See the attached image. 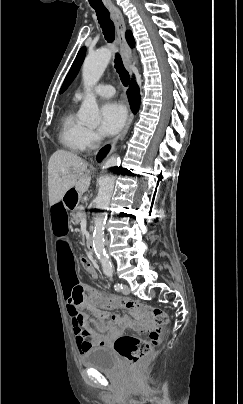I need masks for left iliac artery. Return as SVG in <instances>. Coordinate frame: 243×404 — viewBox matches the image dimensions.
I'll use <instances>...</instances> for the list:
<instances>
[{
	"instance_id": "obj_1",
	"label": "left iliac artery",
	"mask_w": 243,
	"mask_h": 404,
	"mask_svg": "<svg viewBox=\"0 0 243 404\" xmlns=\"http://www.w3.org/2000/svg\"><path fill=\"white\" fill-rule=\"evenodd\" d=\"M107 276L110 277V279H112L113 273H112V272L107 273ZM114 288H115L116 291H120V290L123 289L122 285L119 284V283H116V284L114 285Z\"/></svg>"
}]
</instances>
